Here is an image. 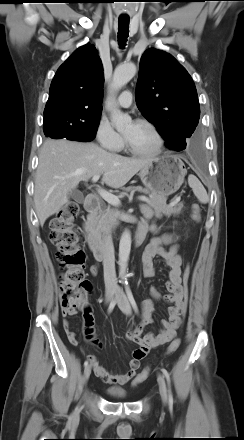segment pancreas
Listing matches in <instances>:
<instances>
[{
	"instance_id": "obj_1",
	"label": "pancreas",
	"mask_w": 244,
	"mask_h": 440,
	"mask_svg": "<svg viewBox=\"0 0 244 440\" xmlns=\"http://www.w3.org/2000/svg\"><path fill=\"white\" fill-rule=\"evenodd\" d=\"M125 192L129 191H141L144 193H148L147 190L142 189L140 187H128L124 189ZM124 194V193H122ZM166 197L157 195V194H150L149 195V203L148 205L152 207L157 213L163 214L166 217H170L171 215H179L183 208V203H179L178 205H167L166 204ZM118 212L115 209L110 208L108 206L105 210H100L97 215H95L91 219V229L93 234L98 238L101 239L102 234L104 232L110 231L111 229H114L118 224Z\"/></svg>"
}]
</instances>
